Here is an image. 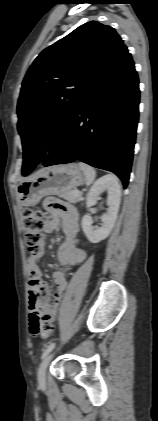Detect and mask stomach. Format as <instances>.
Instances as JSON below:
<instances>
[{"mask_svg": "<svg viewBox=\"0 0 158 421\" xmlns=\"http://www.w3.org/2000/svg\"><path fill=\"white\" fill-rule=\"evenodd\" d=\"M84 182V174L76 164L51 166L20 183L18 195L25 206L36 205L44 196L60 195Z\"/></svg>", "mask_w": 158, "mask_h": 421, "instance_id": "1", "label": "stomach"}]
</instances>
